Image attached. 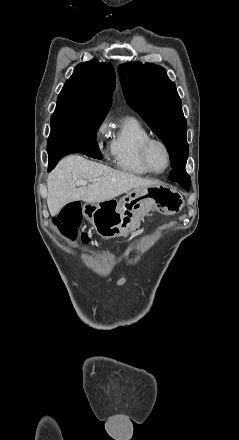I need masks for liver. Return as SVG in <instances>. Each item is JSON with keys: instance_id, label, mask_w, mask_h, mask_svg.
Wrapping results in <instances>:
<instances>
[{"instance_id": "6515ba94", "label": "liver", "mask_w": 239, "mask_h": 440, "mask_svg": "<svg viewBox=\"0 0 239 440\" xmlns=\"http://www.w3.org/2000/svg\"><path fill=\"white\" fill-rule=\"evenodd\" d=\"M90 180V186L76 188L75 182ZM159 180H145L140 176L118 172L103 164L90 162L82 156H67L60 160L47 180V206L51 216H56L69 202H106L135 188L161 186Z\"/></svg>"}]
</instances>
